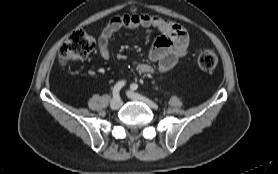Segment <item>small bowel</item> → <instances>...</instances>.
<instances>
[{"instance_id":"1","label":"small bowel","mask_w":278,"mask_h":174,"mask_svg":"<svg viewBox=\"0 0 278 174\" xmlns=\"http://www.w3.org/2000/svg\"><path fill=\"white\" fill-rule=\"evenodd\" d=\"M138 27L154 28L159 33L152 44L150 59L157 63V69L160 73H167L172 70L178 60L187 54L189 36L181 25L150 14H124L110 20L101 30L98 38V49L101 57L106 61L110 60L109 41L116 32L121 29ZM133 64L140 73L151 74L154 72V67L148 63H139L134 60Z\"/></svg>"}]
</instances>
